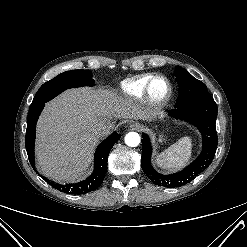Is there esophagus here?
<instances>
[{
	"label": "esophagus",
	"instance_id": "esophagus-1",
	"mask_svg": "<svg viewBox=\"0 0 247 247\" xmlns=\"http://www.w3.org/2000/svg\"><path fill=\"white\" fill-rule=\"evenodd\" d=\"M130 128L135 131H142L143 130V125H141L138 122H134L130 124Z\"/></svg>",
	"mask_w": 247,
	"mask_h": 247
}]
</instances>
